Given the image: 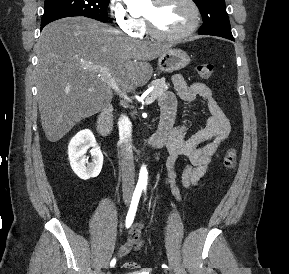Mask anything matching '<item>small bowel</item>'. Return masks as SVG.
Here are the masks:
<instances>
[{
	"label": "small bowel",
	"instance_id": "obj_1",
	"mask_svg": "<svg viewBox=\"0 0 289 274\" xmlns=\"http://www.w3.org/2000/svg\"><path fill=\"white\" fill-rule=\"evenodd\" d=\"M176 94L165 92L160 98L162 113H176L178 99L187 103H196L203 99L206 103L208 118L203 128L187 137L190 127L184 123L174 127L168 138L169 157L166 161V187L177 200H181V191L177 186L178 160L187 162L182 173L181 183L185 189L196 187L200 180L209 172L214 155L221 145L230 137L232 126L216 102L212 90L204 83H186L181 75L172 78ZM143 224L136 223L129 230L125 243L116 249L119 257L128 255L133 250H139L144 245L142 237Z\"/></svg>",
	"mask_w": 289,
	"mask_h": 274
}]
</instances>
